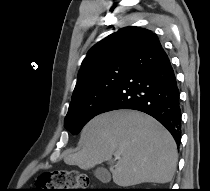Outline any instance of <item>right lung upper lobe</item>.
<instances>
[{
    "mask_svg": "<svg viewBox=\"0 0 210 191\" xmlns=\"http://www.w3.org/2000/svg\"><path fill=\"white\" fill-rule=\"evenodd\" d=\"M152 35V31L147 29L126 27L98 42L82 62L74 92L83 87L99 69L113 62L131 61Z\"/></svg>",
    "mask_w": 210,
    "mask_h": 191,
    "instance_id": "right-lung-upper-lobe-1",
    "label": "right lung upper lobe"
}]
</instances>
